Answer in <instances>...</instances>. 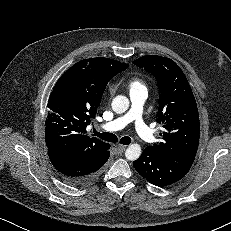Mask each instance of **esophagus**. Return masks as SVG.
Returning <instances> with one entry per match:
<instances>
[{"mask_svg": "<svg viewBox=\"0 0 231 231\" xmlns=\"http://www.w3.org/2000/svg\"><path fill=\"white\" fill-rule=\"evenodd\" d=\"M118 153H123L126 150V146L117 145Z\"/></svg>", "mask_w": 231, "mask_h": 231, "instance_id": "34e87169", "label": "esophagus"}]
</instances>
